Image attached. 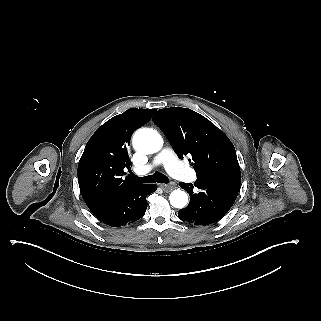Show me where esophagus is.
<instances>
[{"mask_svg":"<svg viewBox=\"0 0 321 321\" xmlns=\"http://www.w3.org/2000/svg\"><path fill=\"white\" fill-rule=\"evenodd\" d=\"M175 187V184H162L161 185V189L166 192L169 193L171 192Z\"/></svg>","mask_w":321,"mask_h":321,"instance_id":"obj_1","label":"esophagus"}]
</instances>
